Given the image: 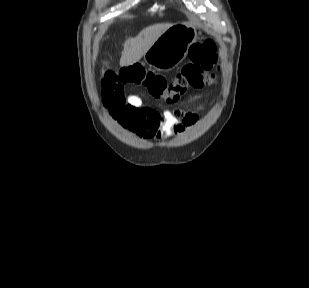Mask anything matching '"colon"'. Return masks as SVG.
I'll use <instances>...</instances> for the list:
<instances>
[{
	"label": "colon",
	"instance_id": "1",
	"mask_svg": "<svg viewBox=\"0 0 309 288\" xmlns=\"http://www.w3.org/2000/svg\"><path fill=\"white\" fill-rule=\"evenodd\" d=\"M217 63L215 43L206 39L192 44L189 62L171 82L162 75L145 70L138 63L109 71L102 80L103 105L116 118L128 114L131 108L126 101L125 87L129 85L145 86L153 97L169 103L177 102L188 89L200 90L215 85Z\"/></svg>",
	"mask_w": 309,
	"mask_h": 288
}]
</instances>
